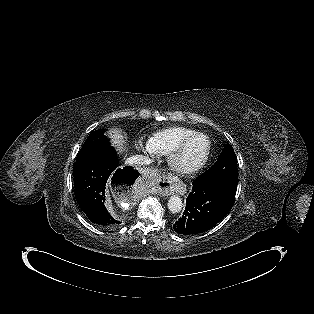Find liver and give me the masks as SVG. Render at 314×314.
<instances>
[{
    "instance_id": "6515ba94",
    "label": "liver",
    "mask_w": 314,
    "mask_h": 314,
    "mask_svg": "<svg viewBox=\"0 0 314 314\" xmlns=\"http://www.w3.org/2000/svg\"><path fill=\"white\" fill-rule=\"evenodd\" d=\"M107 135L111 139L112 145L120 152L125 149V139L121 131L117 128H112L108 131Z\"/></svg>"
}]
</instances>
